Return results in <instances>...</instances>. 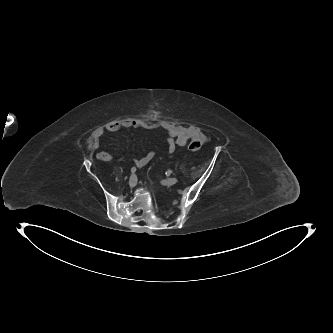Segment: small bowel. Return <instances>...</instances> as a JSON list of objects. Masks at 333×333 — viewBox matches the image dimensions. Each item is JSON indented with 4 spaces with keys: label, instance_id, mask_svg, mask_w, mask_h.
<instances>
[{
    "label": "small bowel",
    "instance_id": "obj_1",
    "mask_svg": "<svg viewBox=\"0 0 333 333\" xmlns=\"http://www.w3.org/2000/svg\"><path fill=\"white\" fill-rule=\"evenodd\" d=\"M135 128L142 130L161 129L166 134V144L169 153H173L177 147L186 146L189 140L199 139L202 142L207 141L206 135L195 125H182L171 121H161L153 123L142 119H122L120 121H111L105 126L108 132H117L120 129ZM104 134L103 128H98L94 131L90 148L97 150L100 146V140ZM155 156L154 151L147 152L142 157L134 159L138 167L147 165ZM96 158L100 161H110L113 156L109 152L100 151L96 153Z\"/></svg>",
    "mask_w": 333,
    "mask_h": 333
}]
</instances>
